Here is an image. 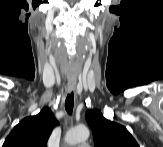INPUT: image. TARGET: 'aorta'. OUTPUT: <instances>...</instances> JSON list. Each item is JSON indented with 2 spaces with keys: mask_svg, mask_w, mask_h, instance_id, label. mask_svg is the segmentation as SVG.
<instances>
[{
  "mask_svg": "<svg viewBox=\"0 0 163 147\" xmlns=\"http://www.w3.org/2000/svg\"><path fill=\"white\" fill-rule=\"evenodd\" d=\"M89 135V129L85 125H78L67 132L65 142L69 145H74L86 141Z\"/></svg>",
  "mask_w": 163,
  "mask_h": 147,
  "instance_id": "aorta-1",
  "label": "aorta"
}]
</instances>
